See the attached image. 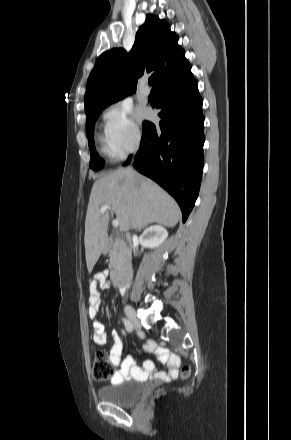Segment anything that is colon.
Returning <instances> with one entry per match:
<instances>
[{
	"label": "colon",
	"mask_w": 291,
	"mask_h": 440,
	"mask_svg": "<svg viewBox=\"0 0 291 440\" xmlns=\"http://www.w3.org/2000/svg\"><path fill=\"white\" fill-rule=\"evenodd\" d=\"M92 374L93 377L98 381H105L111 378L113 371L105 354L98 353L96 355L92 364ZM189 374L190 368L186 365L182 368V375L186 377Z\"/></svg>",
	"instance_id": "5ec220e1"
}]
</instances>
